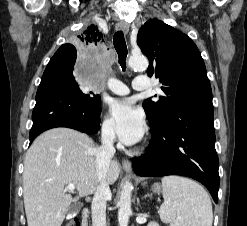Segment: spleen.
<instances>
[{"mask_svg": "<svg viewBox=\"0 0 247 226\" xmlns=\"http://www.w3.org/2000/svg\"><path fill=\"white\" fill-rule=\"evenodd\" d=\"M160 218L170 226H212L213 212L208 193L195 181L180 176L162 178Z\"/></svg>", "mask_w": 247, "mask_h": 226, "instance_id": "spleen-1", "label": "spleen"}]
</instances>
